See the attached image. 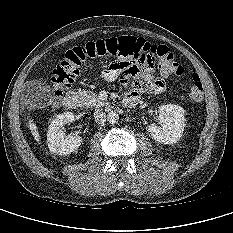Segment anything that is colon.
<instances>
[{
    "label": "colon",
    "mask_w": 233,
    "mask_h": 233,
    "mask_svg": "<svg viewBox=\"0 0 233 233\" xmlns=\"http://www.w3.org/2000/svg\"><path fill=\"white\" fill-rule=\"evenodd\" d=\"M149 51H156L161 56L159 69L163 77L179 76L184 73V67L175 61L167 47L152 45L143 38L135 36H119L89 42L67 51L53 71L52 94L54 98L61 97L72 85L88 58L111 56L117 61H123L126 58H133L138 52L148 53ZM189 96L195 102L202 101L204 97L203 84L196 73H193L189 79Z\"/></svg>",
    "instance_id": "colon-1"
}]
</instances>
